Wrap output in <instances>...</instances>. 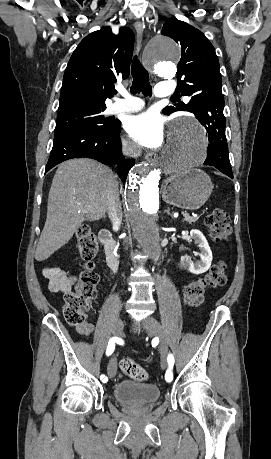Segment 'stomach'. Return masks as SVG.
<instances>
[{
  "instance_id": "0dacf381",
  "label": "stomach",
  "mask_w": 271,
  "mask_h": 459,
  "mask_svg": "<svg viewBox=\"0 0 271 459\" xmlns=\"http://www.w3.org/2000/svg\"><path fill=\"white\" fill-rule=\"evenodd\" d=\"M213 184L202 170L177 172L170 176L162 186V198L170 206H178L185 210H198L207 202Z\"/></svg>"
}]
</instances>
